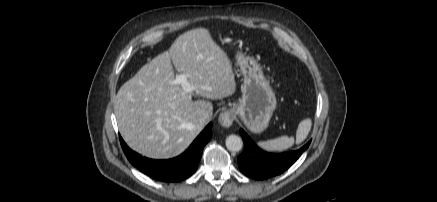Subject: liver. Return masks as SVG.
I'll return each mask as SVG.
<instances>
[{"instance_id": "obj_1", "label": "liver", "mask_w": 437, "mask_h": 202, "mask_svg": "<svg viewBox=\"0 0 437 202\" xmlns=\"http://www.w3.org/2000/svg\"><path fill=\"white\" fill-rule=\"evenodd\" d=\"M175 69L187 75L193 91L175 84ZM236 90L232 64L212 39L209 30L197 28L180 35L169 51L145 64L119 89L114 112L119 131L134 151L153 159L181 154L202 131L200 115L211 119L213 105L192 100L194 94L222 99Z\"/></svg>"}]
</instances>
